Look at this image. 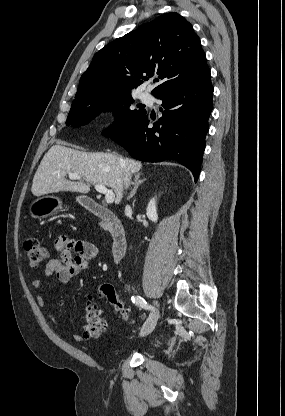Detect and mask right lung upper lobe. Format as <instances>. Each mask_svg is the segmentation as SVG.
Returning <instances> with one entry per match:
<instances>
[{
	"label": "right lung upper lobe",
	"instance_id": "right-lung-upper-lobe-1",
	"mask_svg": "<svg viewBox=\"0 0 285 416\" xmlns=\"http://www.w3.org/2000/svg\"><path fill=\"white\" fill-rule=\"evenodd\" d=\"M155 74L161 80L151 92L156 98L210 74L199 37L176 12L165 13L98 51L81 76L70 111L130 96L133 88Z\"/></svg>",
	"mask_w": 285,
	"mask_h": 416
}]
</instances>
